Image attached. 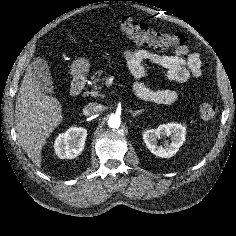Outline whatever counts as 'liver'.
Here are the masks:
<instances>
[{
  "mask_svg": "<svg viewBox=\"0 0 236 236\" xmlns=\"http://www.w3.org/2000/svg\"><path fill=\"white\" fill-rule=\"evenodd\" d=\"M62 119L61 104L40 90L29 65L16 99L15 129L20 146L39 168L43 145Z\"/></svg>",
  "mask_w": 236,
  "mask_h": 236,
  "instance_id": "obj_1",
  "label": "liver"
}]
</instances>
